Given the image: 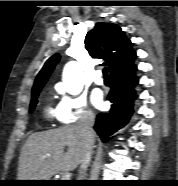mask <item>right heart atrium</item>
<instances>
[{
	"instance_id": "right-heart-atrium-1",
	"label": "right heart atrium",
	"mask_w": 178,
	"mask_h": 186,
	"mask_svg": "<svg viewBox=\"0 0 178 186\" xmlns=\"http://www.w3.org/2000/svg\"><path fill=\"white\" fill-rule=\"evenodd\" d=\"M57 116L62 123H76L94 119V114L87 103L86 97L82 94H62L57 108Z\"/></svg>"
}]
</instances>
